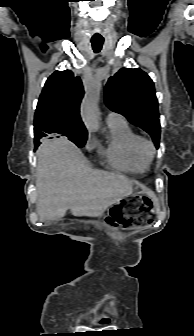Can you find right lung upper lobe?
Instances as JSON below:
<instances>
[{"label": "right lung upper lobe", "mask_w": 194, "mask_h": 336, "mask_svg": "<svg viewBox=\"0 0 194 336\" xmlns=\"http://www.w3.org/2000/svg\"><path fill=\"white\" fill-rule=\"evenodd\" d=\"M82 82L70 70L55 71L46 81L35 112V146L42 137L87 134L80 118Z\"/></svg>", "instance_id": "obj_1"}]
</instances>
